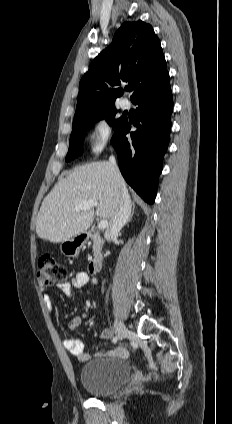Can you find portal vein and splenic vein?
Instances as JSON below:
<instances>
[{
  "label": "portal vein and splenic vein",
  "mask_w": 232,
  "mask_h": 424,
  "mask_svg": "<svg viewBox=\"0 0 232 424\" xmlns=\"http://www.w3.org/2000/svg\"><path fill=\"white\" fill-rule=\"evenodd\" d=\"M98 205V201L97 200H90L87 202H83L81 204H79L78 206L75 207L76 211H80V210H86L92 207H96ZM108 227V221L107 220H101L98 223V228L100 229H105Z\"/></svg>",
  "instance_id": "18ae733b"
}]
</instances>
